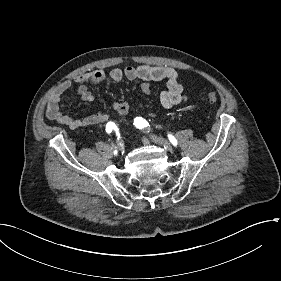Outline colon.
Masks as SVG:
<instances>
[{
	"label": "colon",
	"instance_id": "colon-1",
	"mask_svg": "<svg viewBox=\"0 0 281 281\" xmlns=\"http://www.w3.org/2000/svg\"><path fill=\"white\" fill-rule=\"evenodd\" d=\"M206 99L208 103L215 104L219 101V96L216 93H209ZM117 118L120 122L125 123L129 120L130 115L126 109H124L118 113Z\"/></svg>",
	"mask_w": 281,
	"mask_h": 281
}]
</instances>
